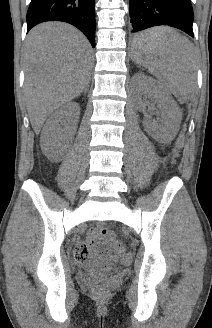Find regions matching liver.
Listing matches in <instances>:
<instances>
[{
  "label": "liver",
  "mask_w": 212,
  "mask_h": 328,
  "mask_svg": "<svg viewBox=\"0 0 212 328\" xmlns=\"http://www.w3.org/2000/svg\"><path fill=\"white\" fill-rule=\"evenodd\" d=\"M91 67V45L75 27L48 22L29 32L24 51V89L36 134L55 109L78 97L88 86Z\"/></svg>",
  "instance_id": "liver-1"
}]
</instances>
